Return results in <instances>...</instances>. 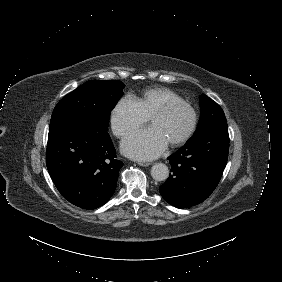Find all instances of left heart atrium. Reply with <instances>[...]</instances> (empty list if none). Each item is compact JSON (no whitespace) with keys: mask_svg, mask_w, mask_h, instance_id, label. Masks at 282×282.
Listing matches in <instances>:
<instances>
[{"mask_svg":"<svg viewBox=\"0 0 282 282\" xmlns=\"http://www.w3.org/2000/svg\"><path fill=\"white\" fill-rule=\"evenodd\" d=\"M167 139L155 126L130 133L123 141V151L136 159H152L162 153Z\"/></svg>","mask_w":282,"mask_h":282,"instance_id":"left-heart-atrium-1","label":"left heart atrium"}]
</instances>
